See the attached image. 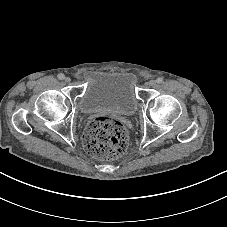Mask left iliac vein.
<instances>
[{"instance_id": "left-iliac-vein-1", "label": "left iliac vein", "mask_w": 227, "mask_h": 227, "mask_svg": "<svg viewBox=\"0 0 227 227\" xmlns=\"http://www.w3.org/2000/svg\"><path fill=\"white\" fill-rule=\"evenodd\" d=\"M149 86H155L156 85V81L155 80H150L148 83Z\"/></svg>"}]
</instances>
